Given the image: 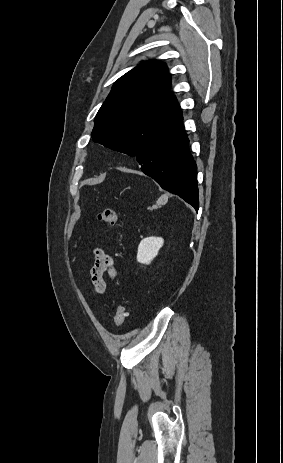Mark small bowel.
Listing matches in <instances>:
<instances>
[{
  "mask_svg": "<svg viewBox=\"0 0 283 463\" xmlns=\"http://www.w3.org/2000/svg\"><path fill=\"white\" fill-rule=\"evenodd\" d=\"M94 263L90 269L89 276L93 285L94 293L102 295L106 291L107 283L105 274L114 281L117 276V271L114 266L113 258L101 248L93 250Z\"/></svg>",
  "mask_w": 283,
  "mask_h": 463,
  "instance_id": "small-bowel-1",
  "label": "small bowel"
}]
</instances>
